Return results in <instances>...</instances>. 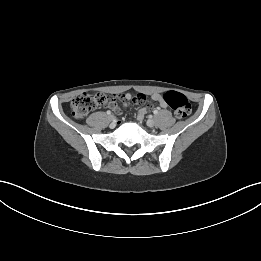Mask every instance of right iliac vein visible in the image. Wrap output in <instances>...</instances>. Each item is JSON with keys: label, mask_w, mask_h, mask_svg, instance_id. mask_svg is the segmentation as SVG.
<instances>
[{"label": "right iliac vein", "mask_w": 261, "mask_h": 261, "mask_svg": "<svg viewBox=\"0 0 261 261\" xmlns=\"http://www.w3.org/2000/svg\"><path fill=\"white\" fill-rule=\"evenodd\" d=\"M108 119L111 122V126H115V117L113 115H110Z\"/></svg>", "instance_id": "right-iliac-vein-1"}]
</instances>
